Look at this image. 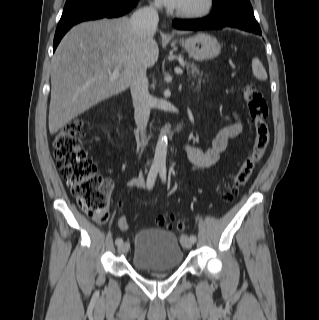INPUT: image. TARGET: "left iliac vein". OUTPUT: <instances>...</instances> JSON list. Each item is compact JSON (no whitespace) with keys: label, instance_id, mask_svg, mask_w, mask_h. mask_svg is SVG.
Returning <instances> with one entry per match:
<instances>
[{"label":"left iliac vein","instance_id":"4c4485c4","mask_svg":"<svg viewBox=\"0 0 319 320\" xmlns=\"http://www.w3.org/2000/svg\"><path fill=\"white\" fill-rule=\"evenodd\" d=\"M181 244L184 248L190 249L193 245V242L189 240L188 236L184 235L183 237H181Z\"/></svg>","mask_w":319,"mask_h":320}]
</instances>
